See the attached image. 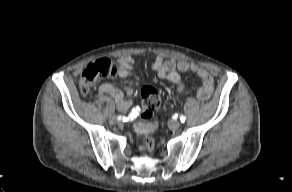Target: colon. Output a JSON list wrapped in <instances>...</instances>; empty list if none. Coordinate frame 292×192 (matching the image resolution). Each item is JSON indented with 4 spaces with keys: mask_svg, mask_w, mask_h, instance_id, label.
Listing matches in <instances>:
<instances>
[{
    "mask_svg": "<svg viewBox=\"0 0 292 192\" xmlns=\"http://www.w3.org/2000/svg\"><path fill=\"white\" fill-rule=\"evenodd\" d=\"M119 70L109 59L102 58L90 63L82 73L80 79V91L86 95L95 81L106 77H115ZM162 102L161 94L154 87L146 86L142 89V112L143 119H150Z\"/></svg>",
    "mask_w": 292,
    "mask_h": 192,
    "instance_id": "1",
    "label": "colon"
}]
</instances>
